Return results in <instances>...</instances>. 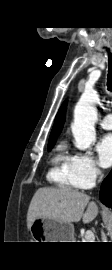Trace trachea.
Here are the masks:
<instances>
[{"label": "trachea", "mask_w": 112, "mask_h": 270, "mask_svg": "<svg viewBox=\"0 0 112 270\" xmlns=\"http://www.w3.org/2000/svg\"><path fill=\"white\" fill-rule=\"evenodd\" d=\"M109 69H108V78H107V86L108 90L112 91V54L109 53Z\"/></svg>", "instance_id": "obj_1"}]
</instances>
